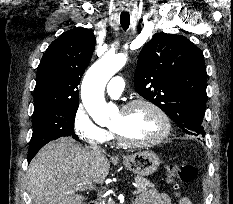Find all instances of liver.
Listing matches in <instances>:
<instances>
[{"label": "liver", "instance_id": "liver-1", "mask_svg": "<svg viewBox=\"0 0 233 204\" xmlns=\"http://www.w3.org/2000/svg\"><path fill=\"white\" fill-rule=\"evenodd\" d=\"M110 163L74 139L62 137L46 144L31 161L28 190L33 204H82L78 186L103 183Z\"/></svg>", "mask_w": 233, "mask_h": 204}]
</instances>
